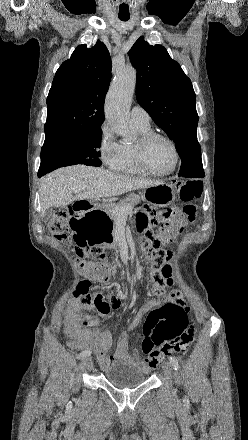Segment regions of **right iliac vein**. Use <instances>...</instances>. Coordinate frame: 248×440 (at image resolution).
I'll use <instances>...</instances> for the list:
<instances>
[{
	"label": "right iliac vein",
	"mask_w": 248,
	"mask_h": 440,
	"mask_svg": "<svg viewBox=\"0 0 248 440\" xmlns=\"http://www.w3.org/2000/svg\"><path fill=\"white\" fill-rule=\"evenodd\" d=\"M83 366L86 370H91L93 368V361L90 357L83 359Z\"/></svg>",
	"instance_id": "63e3f726"
}]
</instances>
